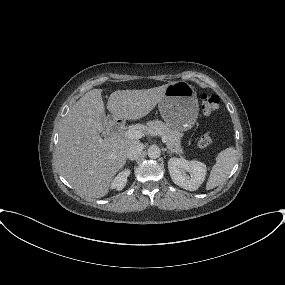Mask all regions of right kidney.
<instances>
[{
  "mask_svg": "<svg viewBox=\"0 0 285 285\" xmlns=\"http://www.w3.org/2000/svg\"><path fill=\"white\" fill-rule=\"evenodd\" d=\"M130 175V170L125 169L124 171L120 172L112 181L111 188L121 191L127 183V177Z\"/></svg>",
  "mask_w": 285,
  "mask_h": 285,
  "instance_id": "ca27d5eb",
  "label": "right kidney"
}]
</instances>
